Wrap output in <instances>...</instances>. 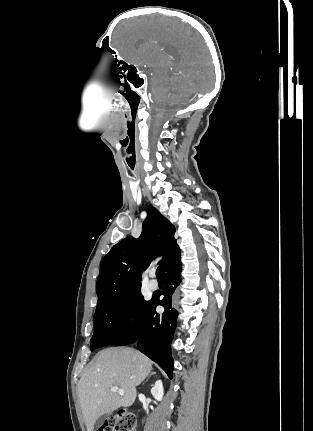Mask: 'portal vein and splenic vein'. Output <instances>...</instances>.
<instances>
[{
  "mask_svg": "<svg viewBox=\"0 0 313 431\" xmlns=\"http://www.w3.org/2000/svg\"><path fill=\"white\" fill-rule=\"evenodd\" d=\"M111 392H113V393H119V395H121V396H123L124 395V390L123 389H121V388H119V387H117V386H113V387H111Z\"/></svg>",
  "mask_w": 313,
  "mask_h": 431,
  "instance_id": "18ae733b",
  "label": "portal vein and splenic vein"
}]
</instances>
